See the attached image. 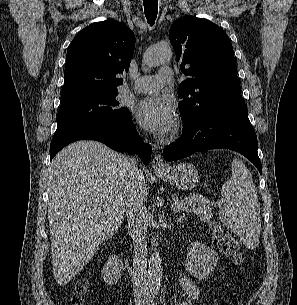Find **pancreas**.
Here are the masks:
<instances>
[{"instance_id":"cf45deb5","label":"pancreas","mask_w":297,"mask_h":305,"mask_svg":"<svg viewBox=\"0 0 297 305\" xmlns=\"http://www.w3.org/2000/svg\"><path fill=\"white\" fill-rule=\"evenodd\" d=\"M192 200V204H189L188 198L181 200L187 202L180 210L185 212H193L198 215L202 220H207L211 216V201L200 195H192L189 197ZM179 201V202H181Z\"/></svg>"}]
</instances>
